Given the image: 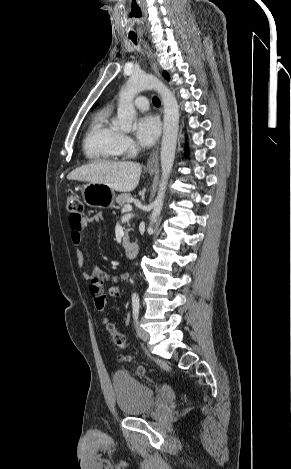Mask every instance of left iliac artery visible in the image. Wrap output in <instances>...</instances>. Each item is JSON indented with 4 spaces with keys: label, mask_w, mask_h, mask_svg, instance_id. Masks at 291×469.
<instances>
[{
    "label": "left iliac artery",
    "mask_w": 291,
    "mask_h": 469,
    "mask_svg": "<svg viewBox=\"0 0 291 469\" xmlns=\"http://www.w3.org/2000/svg\"><path fill=\"white\" fill-rule=\"evenodd\" d=\"M132 308H133V318L135 321L138 319L139 309H140V301L139 296L137 294L132 295Z\"/></svg>",
    "instance_id": "1"
}]
</instances>
